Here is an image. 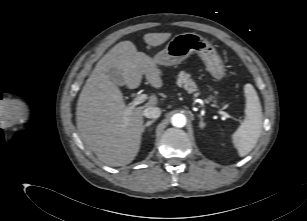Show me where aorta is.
<instances>
[{"label": "aorta", "instance_id": "762f6f07", "mask_svg": "<svg viewBox=\"0 0 307 221\" xmlns=\"http://www.w3.org/2000/svg\"><path fill=\"white\" fill-rule=\"evenodd\" d=\"M171 123L175 127H184L186 125V117L181 113L174 114L171 117Z\"/></svg>", "mask_w": 307, "mask_h": 221}]
</instances>
